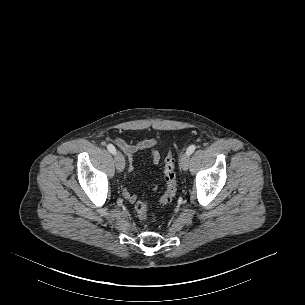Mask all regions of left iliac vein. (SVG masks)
<instances>
[{
    "mask_svg": "<svg viewBox=\"0 0 305 305\" xmlns=\"http://www.w3.org/2000/svg\"><path fill=\"white\" fill-rule=\"evenodd\" d=\"M189 157L190 155L188 153H184L180 160L181 168L185 171L188 169L189 166Z\"/></svg>",
    "mask_w": 305,
    "mask_h": 305,
    "instance_id": "1",
    "label": "left iliac vein"
}]
</instances>
